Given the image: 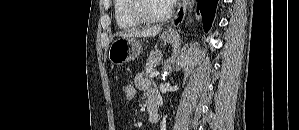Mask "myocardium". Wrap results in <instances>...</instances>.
Here are the masks:
<instances>
[{"mask_svg":"<svg viewBox=\"0 0 299 130\" xmlns=\"http://www.w3.org/2000/svg\"><path fill=\"white\" fill-rule=\"evenodd\" d=\"M149 0H131V12L135 18L144 23H159L167 21L173 14L172 5L168 6L166 14L161 16H154L147 12L145 3Z\"/></svg>","mask_w":299,"mask_h":130,"instance_id":"f54148a6","label":"myocardium"}]
</instances>
